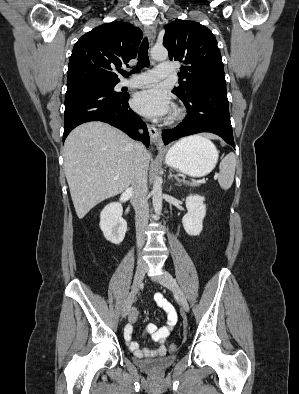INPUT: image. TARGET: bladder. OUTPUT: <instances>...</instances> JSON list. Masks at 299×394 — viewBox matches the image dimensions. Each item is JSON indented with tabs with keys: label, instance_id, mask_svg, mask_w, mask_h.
<instances>
[{
	"label": "bladder",
	"instance_id": "bladder-1",
	"mask_svg": "<svg viewBox=\"0 0 299 394\" xmlns=\"http://www.w3.org/2000/svg\"><path fill=\"white\" fill-rule=\"evenodd\" d=\"M176 361V355H166L150 359H135V363L150 373H160L171 367Z\"/></svg>",
	"mask_w": 299,
	"mask_h": 394
}]
</instances>
